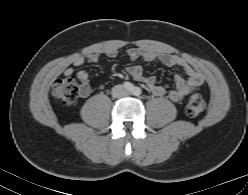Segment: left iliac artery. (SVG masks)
Masks as SVG:
<instances>
[{
	"instance_id": "left-iliac-artery-1",
	"label": "left iliac artery",
	"mask_w": 248,
	"mask_h": 195,
	"mask_svg": "<svg viewBox=\"0 0 248 195\" xmlns=\"http://www.w3.org/2000/svg\"><path fill=\"white\" fill-rule=\"evenodd\" d=\"M133 92H134V94H135L136 96H138V95L141 94V89L138 88V87H135V89L133 90Z\"/></svg>"
}]
</instances>
